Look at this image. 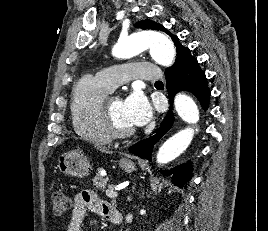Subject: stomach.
I'll return each instance as SVG.
<instances>
[{
	"mask_svg": "<svg viewBox=\"0 0 268 231\" xmlns=\"http://www.w3.org/2000/svg\"><path fill=\"white\" fill-rule=\"evenodd\" d=\"M119 165L127 173L136 169L135 164L129 159L120 160ZM57 168L65 175L83 178L89 173L90 163L80 150H71L59 158Z\"/></svg>",
	"mask_w": 268,
	"mask_h": 231,
	"instance_id": "obj_1",
	"label": "stomach"
}]
</instances>
